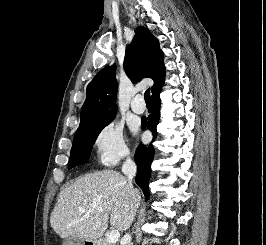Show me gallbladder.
I'll return each instance as SVG.
<instances>
[{
  "instance_id": "gallbladder-1",
  "label": "gallbladder",
  "mask_w": 266,
  "mask_h": 245,
  "mask_svg": "<svg viewBox=\"0 0 266 245\" xmlns=\"http://www.w3.org/2000/svg\"><path fill=\"white\" fill-rule=\"evenodd\" d=\"M68 245H75L76 241L75 239H66Z\"/></svg>"
}]
</instances>
